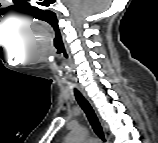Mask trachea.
Listing matches in <instances>:
<instances>
[{
	"mask_svg": "<svg viewBox=\"0 0 158 143\" xmlns=\"http://www.w3.org/2000/svg\"><path fill=\"white\" fill-rule=\"evenodd\" d=\"M75 96H76V100L78 101L79 105L81 106V108L84 110V112L87 115V118L92 126V128L94 129L95 133L102 139L105 140L104 138V134H103V130L102 127L94 113V111L92 110L91 106L89 105V103L84 99V97L75 90Z\"/></svg>",
	"mask_w": 158,
	"mask_h": 143,
	"instance_id": "1",
	"label": "trachea"
}]
</instances>
